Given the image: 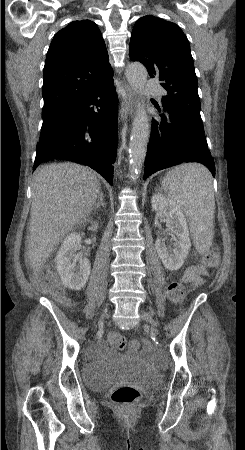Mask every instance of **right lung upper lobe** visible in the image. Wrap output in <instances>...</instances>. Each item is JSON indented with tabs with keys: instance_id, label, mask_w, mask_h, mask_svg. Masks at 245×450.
<instances>
[{
	"instance_id": "right-lung-upper-lobe-1",
	"label": "right lung upper lobe",
	"mask_w": 245,
	"mask_h": 450,
	"mask_svg": "<svg viewBox=\"0 0 245 450\" xmlns=\"http://www.w3.org/2000/svg\"><path fill=\"white\" fill-rule=\"evenodd\" d=\"M113 75L97 25L74 21L53 38L44 66L42 113L57 110Z\"/></svg>"
}]
</instances>
